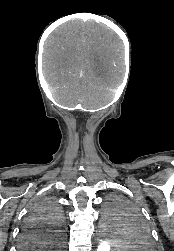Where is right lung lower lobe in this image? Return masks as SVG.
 Segmentation results:
<instances>
[{"label":"right lung lower lobe","instance_id":"1","mask_svg":"<svg viewBox=\"0 0 174 251\" xmlns=\"http://www.w3.org/2000/svg\"><path fill=\"white\" fill-rule=\"evenodd\" d=\"M37 233V227L30 225V224H25V226L22 229V234L20 238V250L22 251H36V250H23L21 248V244L24 243L25 241L31 240V238L34 236V234Z\"/></svg>","mask_w":174,"mask_h":251}]
</instances>
